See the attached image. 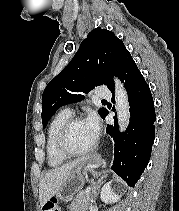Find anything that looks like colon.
<instances>
[{
	"instance_id": "obj_1",
	"label": "colon",
	"mask_w": 179,
	"mask_h": 211,
	"mask_svg": "<svg viewBox=\"0 0 179 211\" xmlns=\"http://www.w3.org/2000/svg\"><path fill=\"white\" fill-rule=\"evenodd\" d=\"M43 211H60L57 200L52 198L47 201L43 206Z\"/></svg>"
}]
</instances>
